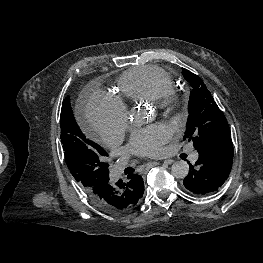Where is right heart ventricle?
Masks as SVG:
<instances>
[{
	"mask_svg": "<svg viewBox=\"0 0 263 263\" xmlns=\"http://www.w3.org/2000/svg\"><path fill=\"white\" fill-rule=\"evenodd\" d=\"M117 100L127 109L129 103H144L153 100L165 90H173L172 78L160 67L145 65L132 67L118 78Z\"/></svg>",
	"mask_w": 263,
	"mask_h": 263,
	"instance_id": "obj_1",
	"label": "right heart ventricle"
}]
</instances>
